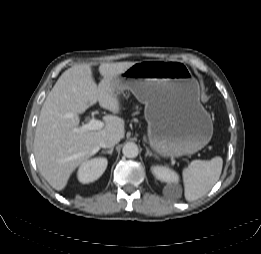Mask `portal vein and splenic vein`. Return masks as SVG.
<instances>
[{
    "label": "portal vein and splenic vein",
    "instance_id": "18ae733b",
    "mask_svg": "<svg viewBox=\"0 0 261 254\" xmlns=\"http://www.w3.org/2000/svg\"><path fill=\"white\" fill-rule=\"evenodd\" d=\"M104 127V123L100 120H97L95 118H91L90 121L77 129H75L76 132L83 133L86 131L91 130H100Z\"/></svg>",
    "mask_w": 261,
    "mask_h": 254
}]
</instances>
